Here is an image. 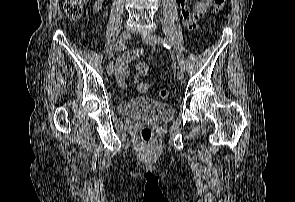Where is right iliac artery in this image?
Returning <instances> with one entry per match:
<instances>
[{
  "label": "right iliac artery",
  "instance_id": "obj_1",
  "mask_svg": "<svg viewBox=\"0 0 295 202\" xmlns=\"http://www.w3.org/2000/svg\"><path fill=\"white\" fill-rule=\"evenodd\" d=\"M110 58H111V56H110ZM111 61L113 62V55H112V59H111Z\"/></svg>",
  "mask_w": 295,
  "mask_h": 202
}]
</instances>
